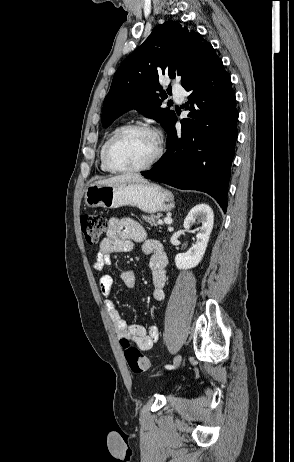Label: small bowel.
<instances>
[{
    "instance_id": "c3829d8e",
    "label": "small bowel",
    "mask_w": 294,
    "mask_h": 462,
    "mask_svg": "<svg viewBox=\"0 0 294 462\" xmlns=\"http://www.w3.org/2000/svg\"><path fill=\"white\" fill-rule=\"evenodd\" d=\"M135 243H142L143 252L151 256L152 297L155 301L161 302L165 298L167 256L161 243L157 240L146 239L143 227L131 218H111L109 220L106 237L99 244L93 265L94 269L100 272L106 270L112 263L113 254L131 251ZM120 280L126 287L132 288L136 282L135 273L130 269L122 270ZM99 286L106 298L107 313L120 339L129 340L142 351L150 350L159 338L158 327L155 325L148 328L139 324L128 325L109 298L113 278L108 274H103L99 279Z\"/></svg>"
}]
</instances>
